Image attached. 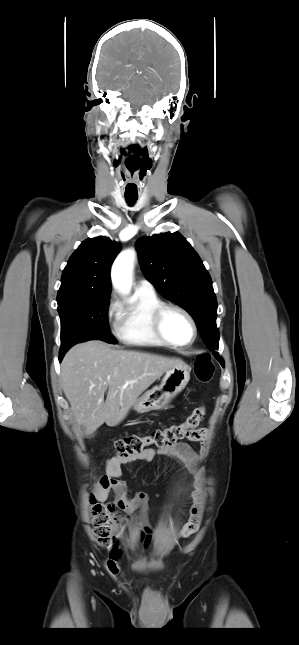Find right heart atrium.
Returning <instances> with one entry per match:
<instances>
[{
	"label": "right heart atrium",
	"instance_id": "d8ad5b80",
	"mask_svg": "<svg viewBox=\"0 0 299 645\" xmlns=\"http://www.w3.org/2000/svg\"><path fill=\"white\" fill-rule=\"evenodd\" d=\"M119 310H120V305H119L117 299L114 296H112L109 299V301L107 303V306H106V316L109 319H112L113 317H116L118 315Z\"/></svg>",
	"mask_w": 299,
	"mask_h": 645
}]
</instances>
